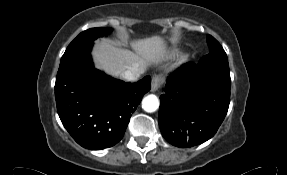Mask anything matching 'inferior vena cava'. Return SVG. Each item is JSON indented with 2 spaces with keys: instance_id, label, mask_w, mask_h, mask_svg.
<instances>
[{
  "instance_id": "inferior-vena-cava-1",
  "label": "inferior vena cava",
  "mask_w": 287,
  "mask_h": 175,
  "mask_svg": "<svg viewBox=\"0 0 287 175\" xmlns=\"http://www.w3.org/2000/svg\"><path fill=\"white\" fill-rule=\"evenodd\" d=\"M142 73L143 71L140 68L129 69L121 73L120 78L125 81L134 82L138 80V78L140 77Z\"/></svg>"
}]
</instances>
